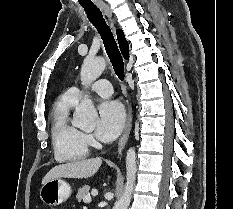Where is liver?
Listing matches in <instances>:
<instances>
[{
	"mask_svg": "<svg viewBox=\"0 0 233 209\" xmlns=\"http://www.w3.org/2000/svg\"><path fill=\"white\" fill-rule=\"evenodd\" d=\"M102 164L100 158L76 160L53 167L43 178L42 184L56 178H89Z\"/></svg>",
	"mask_w": 233,
	"mask_h": 209,
	"instance_id": "6515ba94",
	"label": "liver"
}]
</instances>
